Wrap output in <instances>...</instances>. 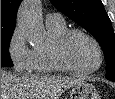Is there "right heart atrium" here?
Instances as JSON below:
<instances>
[{"mask_svg": "<svg viewBox=\"0 0 115 99\" xmlns=\"http://www.w3.org/2000/svg\"><path fill=\"white\" fill-rule=\"evenodd\" d=\"M8 55L17 71H29L32 66L33 50L25 39V34L20 27H16L8 42Z\"/></svg>", "mask_w": 115, "mask_h": 99, "instance_id": "right-heart-atrium-1", "label": "right heart atrium"}]
</instances>
